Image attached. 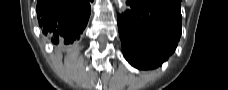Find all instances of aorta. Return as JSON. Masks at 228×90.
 Here are the masks:
<instances>
[{
	"label": "aorta",
	"instance_id": "762f6f07",
	"mask_svg": "<svg viewBox=\"0 0 228 90\" xmlns=\"http://www.w3.org/2000/svg\"><path fill=\"white\" fill-rule=\"evenodd\" d=\"M120 11H125L127 9L126 0H114Z\"/></svg>",
	"mask_w": 228,
	"mask_h": 90
}]
</instances>
